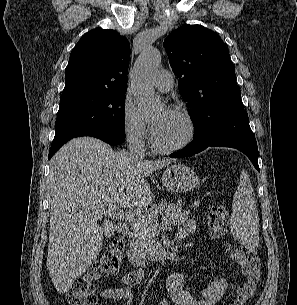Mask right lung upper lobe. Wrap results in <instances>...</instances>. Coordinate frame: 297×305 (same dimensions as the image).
Listing matches in <instances>:
<instances>
[{
    "mask_svg": "<svg viewBox=\"0 0 297 305\" xmlns=\"http://www.w3.org/2000/svg\"><path fill=\"white\" fill-rule=\"evenodd\" d=\"M129 58L130 44L116 31L87 32L70 54L60 99L126 91Z\"/></svg>",
    "mask_w": 297,
    "mask_h": 305,
    "instance_id": "right-lung-upper-lobe-1",
    "label": "right lung upper lobe"
}]
</instances>
